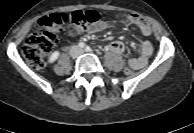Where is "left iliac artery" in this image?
I'll return each mask as SVG.
<instances>
[{
    "label": "left iliac artery",
    "mask_w": 194,
    "mask_h": 133,
    "mask_svg": "<svg viewBox=\"0 0 194 133\" xmlns=\"http://www.w3.org/2000/svg\"><path fill=\"white\" fill-rule=\"evenodd\" d=\"M86 51H91V48L89 46L86 47Z\"/></svg>",
    "instance_id": "left-iliac-artery-1"
}]
</instances>
